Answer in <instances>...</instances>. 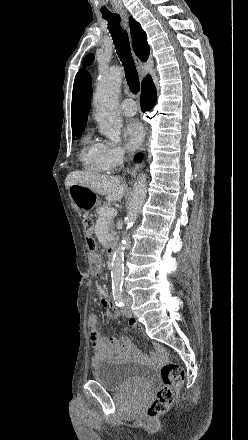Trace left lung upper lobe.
<instances>
[{
  "instance_id": "left-lung-upper-lobe-1",
  "label": "left lung upper lobe",
  "mask_w": 248,
  "mask_h": 440,
  "mask_svg": "<svg viewBox=\"0 0 248 440\" xmlns=\"http://www.w3.org/2000/svg\"><path fill=\"white\" fill-rule=\"evenodd\" d=\"M92 60H93V55L90 54V55H88V56L84 59L83 64H84V65L90 64V63L92 62Z\"/></svg>"
}]
</instances>
